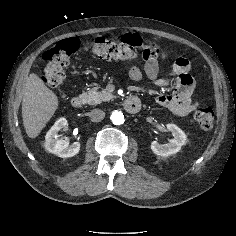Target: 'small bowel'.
<instances>
[{"label":"small bowel","mask_w":236,"mask_h":236,"mask_svg":"<svg viewBox=\"0 0 236 236\" xmlns=\"http://www.w3.org/2000/svg\"><path fill=\"white\" fill-rule=\"evenodd\" d=\"M122 40L137 43L140 46H152L150 43L143 42L135 34H127ZM144 72L150 80L160 86H166L173 79L176 80V88L173 94L159 95L156 98L158 105L167 108L178 116H186L197 107L198 103L192 100L195 81L191 74V65L188 59L183 57L177 58L170 71L164 76L160 75L157 59L149 60L145 63ZM129 76L134 81H140L143 78V72L137 66H132L129 70Z\"/></svg>","instance_id":"obj_1"}]
</instances>
